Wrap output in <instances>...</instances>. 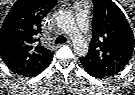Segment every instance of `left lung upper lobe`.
I'll use <instances>...</instances> for the list:
<instances>
[{
	"instance_id": "5c2ea615",
	"label": "left lung upper lobe",
	"mask_w": 135,
	"mask_h": 95,
	"mask_svg": "<svg viewBox=\"0 0 135 95\" xmlns=\"http://www.w3.org/2000/svg\"><path fill=\"white\" fill-rule=\"evenodd\" d=\"M133 35L123 22L105 10H94L92 39L83 63L96 72L120 67L133 50Z\"/></svg>"
}]
</instances>
